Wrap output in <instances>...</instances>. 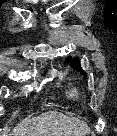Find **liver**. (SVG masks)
Listing matches in <instances>:
<instances>
[{"mask_svg":"<svg viewBox=\"0 0 117 136\" xmlns=\"http://www.w3.org/2000/svg\"><path fill=\"white\" fill-rule=\"evenodd\" d=\"M89 132L85 122L56 111H49L23 122L17 136H84Z\"/></svg>","mask_w":117,"mask_h":136,"instance_id":"liver-1","label":"liver"}]
</instances>
